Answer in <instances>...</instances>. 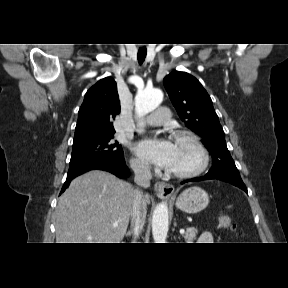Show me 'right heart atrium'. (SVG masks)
<instances>
[{"label": "right heart atrium", "mask_w": 288, "mask_h": 288, "mask_svg": "<svg viewBox=\"0 0 288 288\" xmlns=\"http://www.w3.org/2000/svg\"><path fill=\"white\" fill-rule=\"evenodd\" d=\"M130 163L131 167L138 173L145 174L149 170L148 165L141 159L133 158L131 159Z\"/></svg>", "instance_id": "d8ad5b80"}]
</instances>
